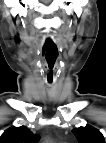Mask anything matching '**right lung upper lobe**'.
Instances as JSON below:
<instances>
[{"label":"right lung upper lobe","instance_id":"right-lung-upper-lobe-1","mask_svg":"<svg viewBox=\"0 0 106 143\" xmlns=\"http://www.w3.org/2000/svg\"><path fill=\"white\" fill-rule=\"evenodd\" d=\"M40 137L33 134L27 127H11L0 137L1 143H36Z\"/></svg>","mask_w":106,"mask_h":143}]
</instances>
